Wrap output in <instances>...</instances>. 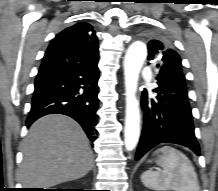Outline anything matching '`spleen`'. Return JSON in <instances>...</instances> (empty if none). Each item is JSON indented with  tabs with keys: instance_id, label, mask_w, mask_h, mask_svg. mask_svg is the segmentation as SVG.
<instances>
[{
	"instance_id": "obj_1",
	"label": "spleen",
	"mask_w": 218,
	"mask_h": 191,
	"mask_svg": "<svg viewBox=\"0 0 218 191\" xmlns=\"http://www.w3.org/2000/svg\"><path fill=\"white\" fill-rule=\"evenodd\" d=\"M162 171L148 170L141 175L142 183L157 191H200L191 161L179 150L164 146L154 152Z\"/></svg>"
}]
</instances>
